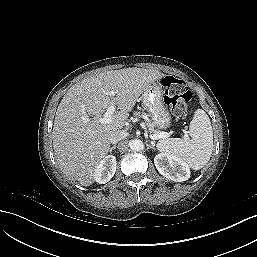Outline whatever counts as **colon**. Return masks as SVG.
Returning <instances> with one entry per match:
<instances>
[{"mask_svg":"<svg viewBox=\"0 0 257 257\" xmlns=\"http://www.w3.org/2000/svg\"><path fill=\"white\" fill-rule=\"evenodd\" d=\"M165 103L177 118H184L192 94L186 84L173 76H165L161 81Z\"/></svg>","mask_w":257,"mask_h":257,"instance_id":"colon-1","label":"colon"}]
</instances>
